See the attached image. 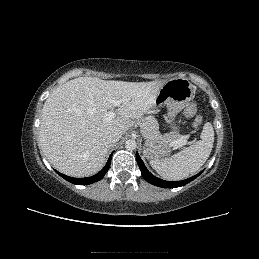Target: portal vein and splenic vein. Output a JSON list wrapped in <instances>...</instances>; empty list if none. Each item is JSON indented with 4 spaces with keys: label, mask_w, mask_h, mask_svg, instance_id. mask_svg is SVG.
<instances>
[{
    "label": "portal vein and splenic vein",
    "mask_w": 259,
    "mask_h": 259,
    "mask_svg": "<svg viewBox=\"0 0 259 259\" xmlns=\"http://www.w3.org/2000/svg\"><path fill=\"white\" fill-rule=\"evenodd\" d=\"M112 103H113L114 106H120L122 101L121 100H114ZM115 115H116L115 112L109 111V112L105 113L104 120H106V121L111 120V119L115 118ZM186 143H187V141L185 139L181 138L179 140L174 141L173 145L182 146V145H185Z\"/></svg>",
    "instance_id": "1"
}]
</instances>
